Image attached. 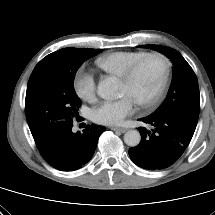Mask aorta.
<instances>
[{
    "label": "aorta",
    "mask_w": 215,
    "mask_h": 215,
    "mask_svg": "<svg viewBox=\"0 0 215 215\" xmlns=\"http://www.w3.org/2000/svg\"><path fill=\"white\" fill-rule=\"evenodd\" d=\"M97 94L105 100H114L119 96V82L115 77H106L97 87ZM141 141V135L137 130H129L124 134V142L135 147Z\"/></svg>",
    "instance_id": "1"
}]
</instances>
